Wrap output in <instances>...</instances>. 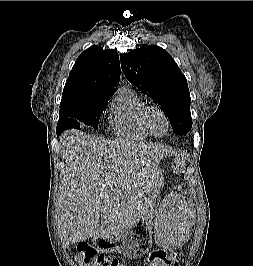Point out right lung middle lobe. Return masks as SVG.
I'll return each mask as SVG.
<instances>
[{"label":"right lung middle lobe","mask_w":253,"mask_h":266,"mask_svg":"<svg viewBox=\"0 0 253 266\" xmlns=\"http://www.w3.org/2000/svg\"><path fill=\"white\" fill-rule=\"evenodd\" d=\"M112 95L91 99L87 102L60 104V118L57 129H80V122L98 129L101 114Z\"/></svg>","instance_id":"dd1d6c3e"}]
</instances>
